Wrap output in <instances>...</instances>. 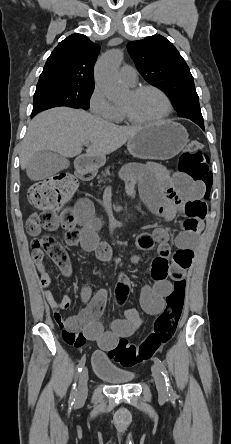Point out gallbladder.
I'll use <instances>...</instances> for the list:
<instances>
[{
	"mask_svg": "<svg viewBox=\"0 0 231 444\" xmlns=\"http://www.w3.org/2000/svg\"><path fill=\"white\" fill-rule=\"evenodd\" d=\"M66 159L52 151H39L29 160L26 167L27 175L31 180H42L65 169Z\"/></svg>",
	"mask_w": 231,
	"mask_h": 444,
	"instance_id": "obj_1",
	"label": "gallbladder"
}]
</instances>
